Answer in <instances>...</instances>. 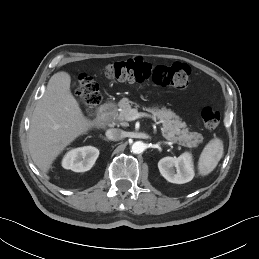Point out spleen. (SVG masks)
<instances>
[{"mask_svg":"<svg viewBox=\"0 0 259 259\" xmlns=\"http://www.w3.org/2000/svg\"><path fill=\"white\" fill-rule=\"evenodd\" d=\"M224 146L219 138H214L204 147L198 161L200 175L206 176L217 166L223 156Z\"/></svg>","mask_w":259,"mask_h":259,"instance_id":"3e777b00","label":"spleen"}]
</instances>
